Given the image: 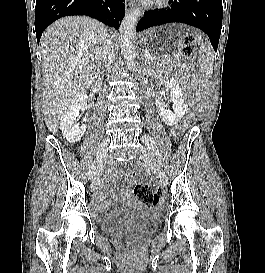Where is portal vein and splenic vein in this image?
Segmentation results:
<instances>
[{
	"instance_id": "portal-vein-and-splenic-vein-1",
	"label": "portal vein and splenic vein",
	"mask_w": 265,
	"mask_h": 273,
	"mask_svg": "<svg viewBox=\"0 0 265 273\" xmlns=\"http://www.w3.org/2000/svg\"><path fill=\"white\" fill-rule=\"evenodd\" d=\"M146 58H150V55L149 54H145Z\"/></svg>"
}]
</instances>
